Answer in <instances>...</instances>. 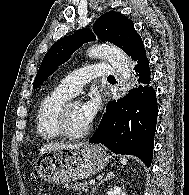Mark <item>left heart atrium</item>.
<instances>
[{
    "label": "left heart atrium",
    "mask_w": 189,
    "mask_h": 195,
    "mask_svg": "<svg viewBox=\"0 0 189 195\" xmlns=\"http://www.w3.org/2000/svg\"><path fill=\"white\" fill-rule=\"evenodd\" d=\"M100 105L101 100L97 93H93L91 97L82 104L83 113L89 123H91L97 115Z\"/></svg>",
    "instance_id": "1"
}]
</instances>
